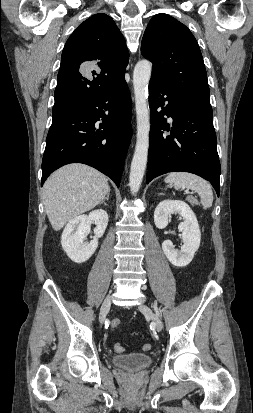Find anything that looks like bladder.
<instances>
[{
    "mask_svg": "<svg viewBox=\"0 0 253 413\" xmlns=\"http://www.w3.org/2000/svg\"><path fill=\"white\" fill-rule=\"evenodd\" d=\"M111 361L119 368L127 370H142L149 367L153 363V357L145 353H128L114 355Z\"/></svg>",
    "mask_w": 253,
    "mask_h": 413,
    "instance_id": "obj_1",
    "label": "bladder"
}]
</instances>
